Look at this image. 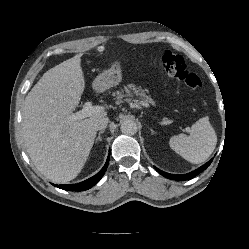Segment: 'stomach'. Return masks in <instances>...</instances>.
<instances>
[{"mask_svg": "<svg viewBox=\"0 0 249 249\" xmlns=\"http://www.w3.org/2000/svg\"><path fill=\"white\" fill-rule=\"evenodd\" d=\"M122 80L120 62L116 61L112 64L111 68L99 74L94 82L93 86L96 90L102 92L113 86L118 85Z\"/></svg>", "mask_w": 249, "mask_h": 249, "instance_id": "stomach-1", "label": "stomach"}]
</instances>
